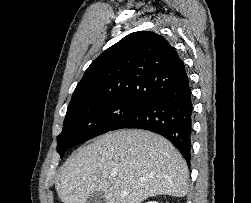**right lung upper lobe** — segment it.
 <instances>
[{
    "instance_id": "1",
    "label": "right lung upper lobe",
    "mask_w": 251,
    "mask_h": 203,
    "mask_svg": "<svg viewBox=\"0 0 251 203\" xmlns=\"http://www.w3.org/2000/svg\"><path fill=\"white\" fill-rule=\"evenodd\" d=\"M185 77L183 61L164 37L138 31L125 36L91 63L69 105L90 101L146 103Z\"/></svg>"
}]
</instances>
